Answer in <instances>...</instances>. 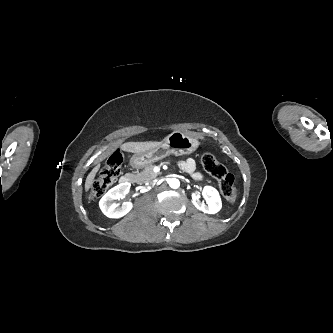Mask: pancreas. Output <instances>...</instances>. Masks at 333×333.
Segmentation results:
<instances>
[{"instance_id": "obj_1", "label": "pancreas", "mask_w": 333, "mask_h": 333, "mask_svg": "<svg viewBox=\"0 0 333 333\" xmlns=\"http://www.w3.org/2000/svg\"><path fill=\"white\" fill-rule=\"evenodd\" d=\"M154 167H155V165L152 163L145 166V168L136 175L137 182L138 183H146V182L150 183L153 179H155L158 176V174L154 172V170H153Z\"/></svg>"}]
</instances>
